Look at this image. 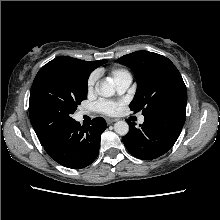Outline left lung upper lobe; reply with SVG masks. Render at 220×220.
<instances>
[{"instance_id": "1", "label": "left lung upper lobe", "mask_w": 220, "mask_h": 220, "mask_svg": "<svg viewBox=\"0 0 220 220\" xmlns=\"http://www.w3.org/2000/svg\"><path fill=\"white\" fill-rule=\"evenodd\" d=\"M130 67L137 78V91L130 103L132 111L147 115L157 109L187 103V90L175 65L165 56L137 51L117 59Z\"/></svg>"}]
</instances>
